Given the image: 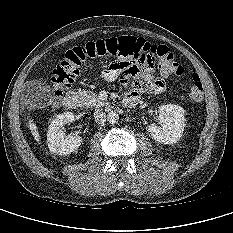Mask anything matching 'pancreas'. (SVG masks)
<instances>
[{"instance_id":"1","label":"pancreas","mask_w":233,"mask_h":233,"mask_svg":"<svg viewBox=\"0 0 233 233\" xmlns=\"http://www.w3.org/2000/svg\"><path fill=\"white\" fill-rule=\"evenodd\" d=\"M79 96L81 98V100L83 101L84 105L86 107H101L103 106L105 103L103 101H101L97 95L92 92V91H79Z\"/></svg>"}]
</instances>
